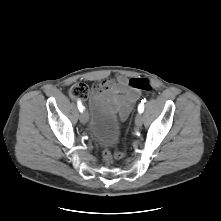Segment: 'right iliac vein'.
<instances>
[{"label":"right iliac vein","instance_id":"obj_1","mask_svg":"<svg viewBox=\"0 0 221 221\" xmlns=\"http://www.w3.org/2000/svg\"><path fill=\"white\" fill-rule=\"evenodd\" d=\"M81 123L86 124L88 122V114L86 111L82 112L79 117Z\"/></svg>","mask_w":221,"mask_h":221}]
</instances>
